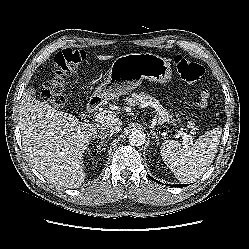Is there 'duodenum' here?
I'll list each match as a JSON object with an SVG mask.
<instances>
[{"label": "duodenum", "instance_id": "410a0bca", "mask_svg": "<svg viewBox=\"0 0 249 249\" xmlns=\"http://www.w3.org/2000/svg\"><path fill=\"white\" fill-rule=\"evenodd\" d=\"M102 104V99L98 96L92 97L90 99V101L88 102V112L93 113L95 111L98 110V108L101 106Z\"/></svg>", "mask_w": 249, "mask_h": 249}]
</instances>
